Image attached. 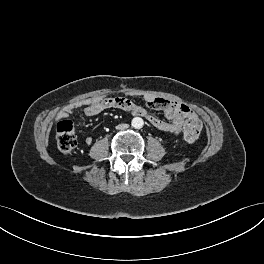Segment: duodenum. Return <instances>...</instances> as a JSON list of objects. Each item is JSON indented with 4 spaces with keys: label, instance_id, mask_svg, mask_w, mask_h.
Wrapping results in <instances>:
<instances>
[{
    "label": "duodenum",
    "instance_id": "1",
    "mask_svg": "<svg viewBox=\"0 0 264 264\" xmlns=\"http://www.w3.org/2000/svg\"><path fill=\"white\" fill-rule=\"evenodd\" d=\"M136 115L143 116V114H142V113H138V114H136Z\"/></svg>",
    "mask_w": 264,
    "mask_h": 264
}]
</instances>
